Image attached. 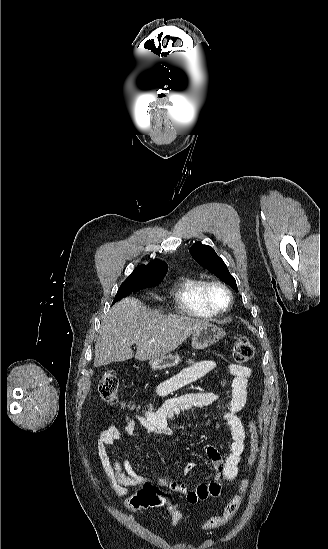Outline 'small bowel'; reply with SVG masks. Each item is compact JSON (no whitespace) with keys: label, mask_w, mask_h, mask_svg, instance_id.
<instances>
[{"label":"small bowel","mask_w":328,"mask_h":549,"mask_svg":"<svg viewBox=\"0 0 328 549\" xmlns=\"http://www.w3.org/2000/svg\"><path fill=\"white\" fill-rule=\"evenodd\" d=\"M217 365L213 359H189L188 366L177 375L160 383L155 389V394L158 397L172 394L212 372L217 368ZM229 371L234 378L231 397L227 400H223L211 392H191L166 399L155 411L146 410L136 415L145 435L170 437L175 434L171 422L178 415L212 406H218L221 409V416L230 432L231 443L227 456H223L217 447L205 445V452L211 460L215 472L213 479L194 488L179 483L171 485L172 490L182 495L189 504L219 497L224 483L235 480L239 472L241 457L245 450L246 432L238 413L246 404L251 369L243 365L230 364ZM124 422L128 435L137 436L138 430L134 420L126 416ZM121 439L116 425L110 424L101 432L96 446L108 483L117 497L126 496L130 489L141 487L148 482V478L138 471L126 457L120 456L114 451ZM193 467V462L188 461L185 472L188 473Z\"/></svg>","instance_id":"small-bowel-1"}]
</instances>
